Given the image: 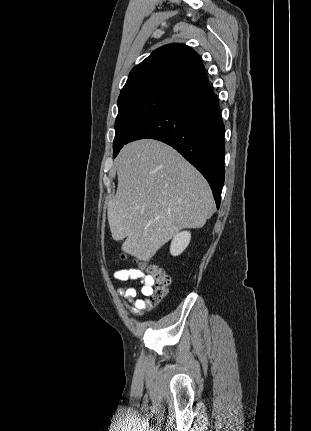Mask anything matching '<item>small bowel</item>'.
I'll return each mask as SVG.
<instances>
[{
	"label": "small bowel",
	"mask_w": 311,
	"mask_h": 431,
	"mask_svg": "<svg viewBox=\"0 0 311 431\" xmlns=\"http://www.w3.org/2000/svg\"><path fill=\"white\" fill-rule=\"evenodd\" d=\"M113 278L119 282L129 280H139L142 283L141 294L142 298L138 297L137 288L128 284L117 289V293L121 297L123 305L133 316H141L144 311L150 308L148 297L151 295L150 277L139 269H120L113 273Z\"/></svg>",
	"instance_id": "small-bowel-1"
}]
</instances>
